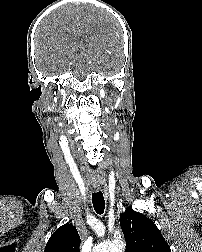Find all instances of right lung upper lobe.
I'll return each mask as SVG.
<instances>
[{"label":"right lung upper lobe","mask_w":202,"mask_h":252,"mask_svg":"<svg viewBox=\"0 0 202 252\" xmlns=\"http://www.w3.org/2000/svg\"><path fill=\"white\" fill-rule=\"evenodd\" d=\"M80 237L72 224L58 228L49 238L44 252H79Z\"/></svg>","instance_id":"right-lung-upper-lobe-1"}]
</instances>
